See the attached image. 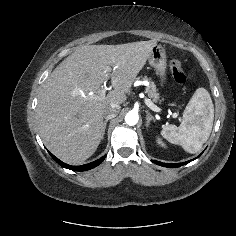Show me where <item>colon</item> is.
Masks as SVG:
<instances>
[{"mask_svg":"<svg viewBox=\"0 0 236 236\" xmlns=\"http://www.w3.org/2000/svg\"><path fill=\"white\" fill-rule=\"evenodd\" d=\"M169 68L175 82L179 84H183L186 82V71L183 68L182 63L178 59H171L169 62Z\"/></svg>","mask_w":236,"mask_h":236,"instance_id":"1","label":"colon"}]
</instances>
